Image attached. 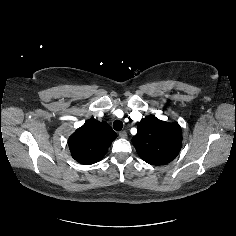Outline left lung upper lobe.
Returning a JSON list of instances; mask_svg holds the SVG:
<instances>
[{"label":"left lung upper lobe","instance_id":"obj_1","mask_svg":"<svg viewBox=\"0 0 236 236\" xmlns=\"http://www.w3.org/2000/svg\"><path fill=\"white\" fill-rule=\"evenodd\" d=\"M132 143L145 162L163 165L175 159L181 149V127L147 116L138 123Z\"/></svg>","mask_w":236,"mask_h":236}]
</instances>
